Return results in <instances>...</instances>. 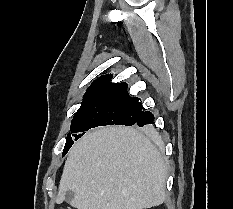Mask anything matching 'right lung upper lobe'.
Segmentation results:
<instances>
[{
    "label": "right lung upper lobe",
    "mask_w": 233,
    "mask_h": 209,
    "mask_svg": "<svg viewBox=\"0 0 233 209\" xmlns=\"http://www.w3.org/2000/svg\"><path fill=\"white\" fill-rule=\"evenodd\" d=\"M111 78L105 75L96 79L87 89L81 106L104 102L141 103L139 98L129 96L126 83H111Z\"/></svg>",
    "instance_id": "obj_1"
}]
</instances>
